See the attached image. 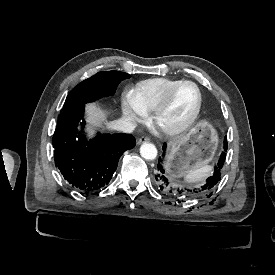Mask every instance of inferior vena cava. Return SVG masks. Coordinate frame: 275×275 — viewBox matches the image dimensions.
Wrapping results in <instances>:
<instances>
[{
  "label": "inferior vena cava",
  "instance_id": "inferior-vena-cava-1",
  "mask_svg": "<svg viewBox=\"0 0 275 275\" xmlns=\"http://www.w3.org/2000/svg\"><path fill=\"white\" fill-rule=\"evenodd\" d=\"M111 126L114 129L122 131L124 133H132L136 128L135 124L126 122L124 120H115L111 122Z\"/></svg>",
  "mask_w": 275,
  "mask_h": 275
}]
</instances>
